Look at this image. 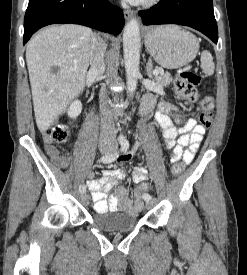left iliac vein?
Masks as SVG:
<instances>
[{
	"mask_svg": "<svg viewBox=\"0 0 247 275\" xmlns=\"http://www.w3.org/2000/svg\"><path fill=\"white\" fill-rule=\"evenodd\" d=\"M155 205V201L153 199L146 201V208L151 209Z\"/></svg>",
	"mask_w": 247,
	"mask_h": 275,
	"instance_id": "1",
	"label": "left iliac vein"
}]
</instances>
